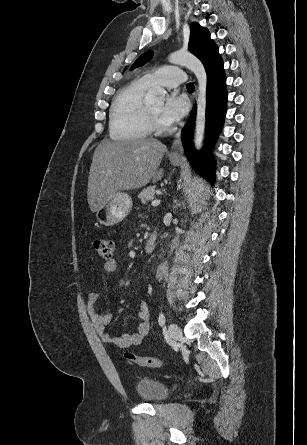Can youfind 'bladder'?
Here are the masks:
<instances>
[{"mask_svg":"<svg viewBox=\"0 0 307 445\" xmlns=\"http://www.w3.org/2000/svg\"><path fill=\"white\" fill-rule=\"evenodd\" d=\"M135 390L141 400L150 404L162 402L170 392L165 384L150 378L140 379L135 385Z\"/></svg>","mask_w":307,"mask_h":445,"instance_id":"obj_1","label":"bladder"}]
</instances>
